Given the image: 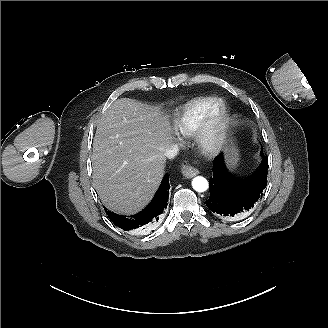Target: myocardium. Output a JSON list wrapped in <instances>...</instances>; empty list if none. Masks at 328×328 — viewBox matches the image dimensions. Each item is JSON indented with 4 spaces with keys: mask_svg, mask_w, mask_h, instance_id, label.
I'll use <instances>...</instances> for the list:
<instances>
[{
    "mask_svg": "<svg viewBox=\"0 0 328 328\" xmlns=\"http://www.w3.org/2000/svg\"><path fill=\"white\" fill-rule=\"evenodd\" d=\"M232 116L228 104L216 98L198 115L191 139L204 156L216 157L225 150L231 130Z\"/></svg>",
    "mask_w": 328,
    "mask_h": 328,
    "instance_id": "f54148a6",
    "label": "myocardium"
}]
</instances>
